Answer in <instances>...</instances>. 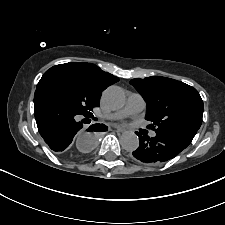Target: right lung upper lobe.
I'll use <instances>...</instances> for the list:
<instances>
[{"label":"right lung upper lobe","mask_w":225,"mask_h":225,"mask_svg":"<svg viewBox=\"0 0 225 225\" xmlns=\"http://www.w3.org/2000/svg\"><path fill=\"white\" fill-rule=\"evenodd\" d=\"M53 68L63 69L84 82L99 98L101 92L109 85L119 81V78L102 71L98 66L91 63L71 62L56 65Z\"/></svg>","instance_id":"cb5924a9"}]
</instances>
